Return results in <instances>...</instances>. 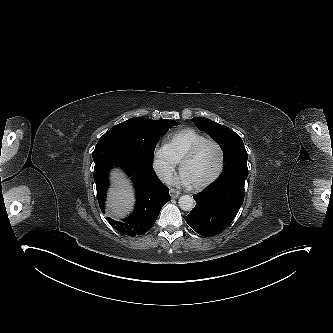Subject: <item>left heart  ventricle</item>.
Wrapping results in <instances>:
<instances>
[{
  "label": "left heart ventricle",
  "instance_id": "b2bd125f",
  "mask_svg": "<svg viewBox=\"0 0 333 333\" xmlns=\"http://www.w3.org/2000/svg\"><path fill=\"white\" fill-rule=\"evenodd\" d=\"M218 151L213 144H205L197 155L184 166L191 182L198 183L208 179L216 170L218 165Z\"/></svg>",
  "mask_w": 333,
  "mask_h": 333
}]
</instances>
